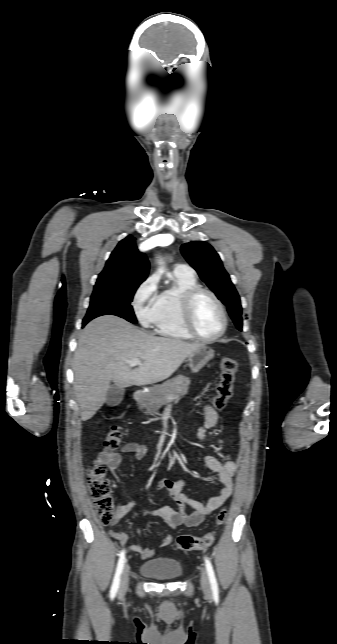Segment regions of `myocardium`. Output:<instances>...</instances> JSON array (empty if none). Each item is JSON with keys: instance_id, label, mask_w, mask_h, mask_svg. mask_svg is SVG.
<instances>
[{"instance_id": "1", "label": "myocardium", "mask_w": 337, "mask_h": 644, "mask_svg": "<svg viewBox=\"0 0 337 644\" xmlns=\"http://www.w3.org/2000/svg\"><path fill=\"white\" fill-rule=\"evenodd\" d=\"M203 294L210 296L214 300L222 315L220 331L209 338L203 337L197 332L193 320L195 303ZM181 320L185 330L192 338L205 343H212L220 339L225 334L228 326V314L222 300L212 290L202 286L193 287L184 293L181 300Z\"/></svg>"}]
</instances>
